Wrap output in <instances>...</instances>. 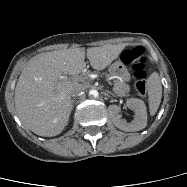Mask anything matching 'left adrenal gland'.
Returning a JSON list of instances; mask_svg holds the SVG:
<instances>
[{
  "instance_id": "obj_1",
  "label": "left adrenal gland",
  "mask_w": 187,
  "mask_h": 187,
  "mask_svg": "<svg viewBox=\"0 0 187 187\" xmlns=\"http://www.w3.org/2000/svg\"><path fill=\"white\" fill-rule=\"evenodd\" d=\"M107 93L112 94L111 92L107 91ZM113 95V94H112ZM114 96V95H113Z\"/></svg>"
}]
</instances>
